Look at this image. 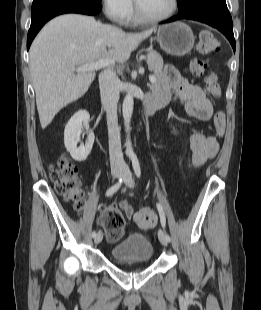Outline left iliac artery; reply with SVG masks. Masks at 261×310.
Segmentation results:
<instances>
[{"instance_id": "left-iliac-artery-1", "label": "left iliac artery", "mask_w": 261, "mask_h": 310, "mask_svg": "<svg viewBox=\"0 0 261 310\" xmlns=\"http://www.w3.org/2000/svg\"><path fill=\"white\" fill-rule=\"evenodd\" d=\"M131 160H132V165H133L134 172H135L136 176L139 178L141 176V169H140V164H139L137 156L136 155H132L131 156ZM156 206H157V210H158L159 215H160L161 225H162V227L164 229L165 225H166V218H165V213H164L163 207L159 203H157ZM165 235H166L167 241L170 242L171 241L170 236L166 232H165Z\"/></svg>"}]
</instances>
